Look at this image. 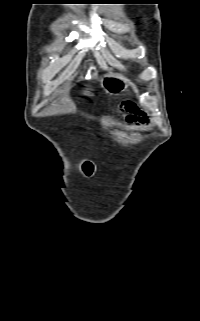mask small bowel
I'll return each instance as SVG.
<instances>
[{
  "label": "small bowel",
  "instance_id": "1",
  "mask_svg": "<svg viewBox=\"0 0 200 321\" xmlns=\"http://www.w3.org/2000/svg\"><path fill=\"white\" fill-rule=\"evenodd\" d=\"M123 108L127 111L126 120L133 125H148L149 120L146 115L140 111L133 103L127 102Z\"/></svg>",
  "mask_w": 200,
  "mask_h": 321
}]
</instances>
